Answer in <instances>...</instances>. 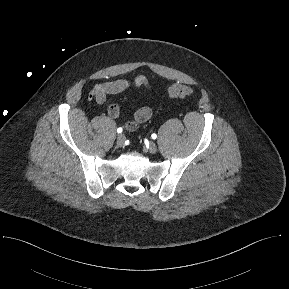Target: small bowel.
Instances as JSON below:
<instances>
[{"instance_id": "c3829d8e", "label": "small bowel", "mask_w": 289, "mask_h": 289, "mask_svg": "<svg viewBox=\"0 0 289 289\" xmlns=\"http://www.w3.org/2000/svg\"><path fill=\"white\" fill-rule=\"evenodd\" d=\"M143 87L148 90H153V87L149 79L145 75H138L135 78L128 79H117L107 81L101 84L95 93V100L98 104H104L107 97L111 95L120 94L130 88ZM108 115L111 118H118L120 115V109L116 104H111L108 107ZM152 117V109L148 106H143L137 109L131 120L124 123V127L127 131H135L140 124L148 121Z\"/></svg>"}]
</instances>
